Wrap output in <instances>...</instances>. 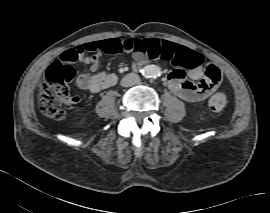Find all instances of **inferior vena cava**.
Segmentation results:
<instances>
[{
    "label": "inferior vena cava",
    "instance_id": "inferior-vena-cava-1",
    "mask_svg": "<svg viewBox=\"0 0 270 213\" xmlns=\"http://www.w3.org/2000/svg\"><path fill=\"white\" fill-rule=\"evenodd\" d=\"M140 83V77L135 73H129L123 77L121 84L124 87L134 86Z\"/></svg>",
    "mask_w": 270,
    "mask_h": 213
}]
</instances>
